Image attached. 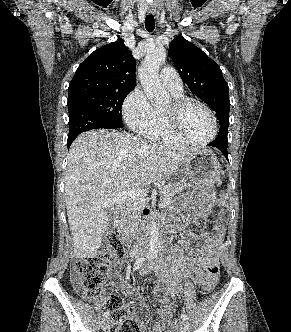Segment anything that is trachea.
<instances>
[{
  "mask_svg": "<svg viewBox=\"0 0 291 332\" xmlns=\"http://www.w3.org/2000/svg\"><path fill=\"white\" fill-rule=\"evenodd\" d=\"M145 27L148 32H152L155 28V20L152 14L147 15L145 18Z\"/></svg>",
  "mask_w": 291,
  "mask_h": 332,
  "instance_id": "1",
  "label": "trachea"
}]
</instances>
